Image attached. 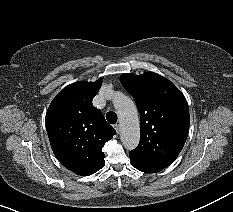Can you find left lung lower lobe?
<instances>
[{"instance_id":"0a47b994","label":"left lung lower lobe","mask_w":233,"mask_h":212,"mask_svg":"<svg viewBox=\"0 0 233 212\" xmlns=\"http://www.w3.org/2000/svg\"><path fill=\"white\" fill-rule=\"evenodd\" d=\"M129 157H130V160H131V164L138 170L142 171V172H146V173H155V172H159L161 171L162 167H158V166H155L153 164H150V163H147L143 160H141L140 158H137L133 155H130L129 154Z\"/></svg>"}]
</instances>
